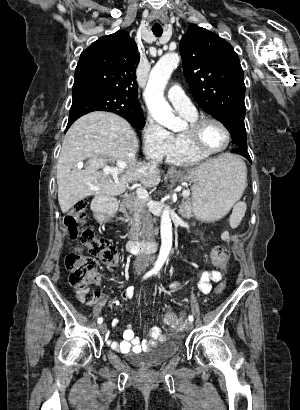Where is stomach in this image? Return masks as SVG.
<instances>
[{
  "label": "stomach",
  "mask_w": 300,
  "mask_h": 410,
  "mask_svg": "<svg viewBox=\"0 0 300 410\" xmlns=\"http://www.w3.org/2000/svg\"><path fill=\"white\" fill-rule=\"evenodd\" d=\"M240 159L227 163L197 167L181 176L194 183L192 187V209L194 215L205 222L223 218L239 200L245 187Z\"/></svg>",
  "instance_id": "0dacf381"
}]
</instances>
